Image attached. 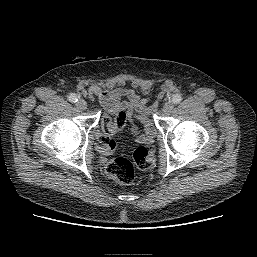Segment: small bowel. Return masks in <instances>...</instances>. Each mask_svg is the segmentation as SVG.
<instances>
[{
	"mask_svg": "<svg viewBox=\"0 0 257 257\" xmlns=\"http://www.w3.org/2000/svg\"><path fill=\"white\" fill-rule=\"evenodd\" d=\"M172 88L170 83L164 85V91ZM87 95L91 101L96 99L101 106L110 115L124 113L127 122L132 128L135 123L140 122L143 127V133L137 135L136 141L141 144H150L156 135V128L152 117L151 110L147 107L145 99L139 96L134 89L116 88L113 90H104L96 85L88 87ZM126 98V100H122Z\"/></svg>",
	"mask_w": 257,
	"mask_h": 257,
	"instance_id": "small-bowel-1",
	"label": "small bowel"
}]
</instances>
